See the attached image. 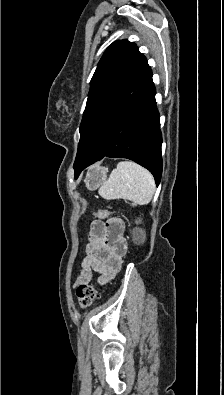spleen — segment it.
<instances>
[{"label": "spleen", "mask_w": 224, "mask_h": 395, "mask_svg": "<svg viewBox=\"0 0 224 395\" xmlns=\"http://www.w3.org/2000/svg\"><path fill=\"white\" fill-rule=\"evenodd\" d=\"M155 189L154 177L147 169L132 161H121L101 185L99 194L107 200L125 199L145 205L152 200Z\"/></svg>", "instance_id": "3e777b00"}]
</instances>
